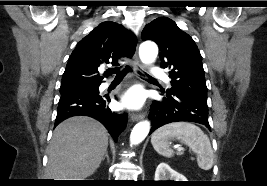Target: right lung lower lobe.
Masks as SVG:
<instances>
[{"label": "right lung lower lobe", "instance_id": "1", "mask_svg": "<svg viewBox=\"0 0 267 186\" xmlns=\"http://www.w3.org/2000/svg\"><path fill=\"white\" fill-rule=\"evenodd\" d=\"M131 70L130 67H126L124 72ZM109 101L110 98L100 96L98 90L74 88L61 92L55 126L69 117L90 116L100 121L116 142L119 134L126 127L127 114L112 112L107 106Z\"/></svg>", "mask_w": 267, "mask_h": 186}]
</instances>
